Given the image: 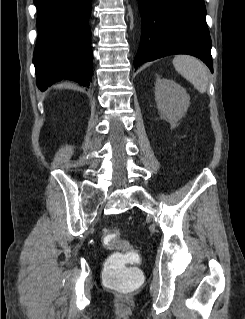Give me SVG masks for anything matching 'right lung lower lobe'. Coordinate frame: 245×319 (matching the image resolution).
Wrapping results in <instances>:
<instances>
[{
	"label": "right lung lower lobe",
	"mask_w": 245,
	"mask_h": 319,
	"mask_svg": "<svg viewBox=\"0 0 245 319\" xmlns=\"http://www.w3.org/2000/svg\"><path fill=\"white\" fill-rule=\"evenodd\" d=\"M38 38L33 63L41 91L62 79L92 80L91 0H34Z\"/></svg>",
	"instance_id": "98d812e1"
}]
</instances>
